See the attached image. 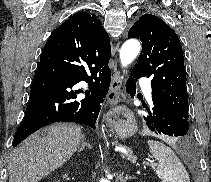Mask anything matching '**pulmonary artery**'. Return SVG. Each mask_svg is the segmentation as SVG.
I'll use <instances>...</instances> for the list:
<instances>
[{
  "label": "pulmonary artery",
  "mask_w": 211,
  "mask_h": 182,
  "mask_svg": "<svg viewBox=\"0 0 211 182\" xmlns=\"http://www.w3.org/2000/svg\"><path fill=\"white\" fill-rule=\"evenodd\" d=\"M144 85V91L147 99L151 100L152 97V89L148 83H146L145 79H141L140 81Z\"/></svg>",
  "instance_id": "e3ab8cb5"
}]
</instances>
